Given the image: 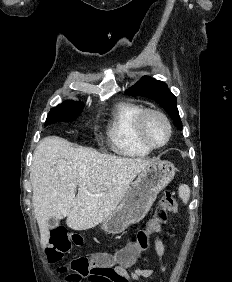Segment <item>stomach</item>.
Instances as JSON below:
<instances>
[{"label": "stomach", "instance_id": "obj_1", "mask_svg": "<svg viewBox=\"0 0 232 282\" xmlns=\"http://www.w3.org/2000/svg\"><path fill=\"white\" fill-rule=\"evenodd\" d=\"M175 170V166L169 161H155L144 168L129 187L122 202L100 223V229L114 235L141 221L157 194L171 182Z\"/></svg>", "mask_w": 232, "mask_h": 282}]
</instances>
